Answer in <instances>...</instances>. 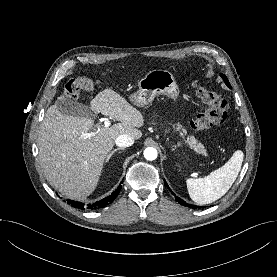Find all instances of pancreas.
<instances>
[{
    "label": "pancreas",
    "instance_id": "cf45deb5",
    "mask_svg": "<svg viewBox=\"0 0 277 277\" xmlns=\"http://www.w3.org/2000/svg\"><path fill=\"white\" fill-rule=\"evenodd\" d=\"M176 130H181V135L184 136L187 134V131L185 129L182 128V126L180 124H177L175 126ZM187 142L189 143V145L191 147H194V149L197 151V152H200V153H204V146L198 142L194 136H189L187 138Z\"/></svg>",
    "mask_w": 277,
    "mask_h": 277
}]
</instances>
